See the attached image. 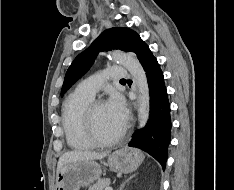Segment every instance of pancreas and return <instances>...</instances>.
Returning <instances> with one entry per match:
<instances>
[{"label":"pancreas","instance_id":"1","mask_svg":"<svg viewBox=\"0 0 234 190\" xmlns=\"http://www.w3.org/2000/svg\"><path fill=\"white\" fill-rule=\"evenodd\" d=\"M109 185H110V179H102V180H98V182L95 183L94 185H91L89 187V190H103Z\"/></svg>","mask_w":234,"mask_h":190}]
</instances>
